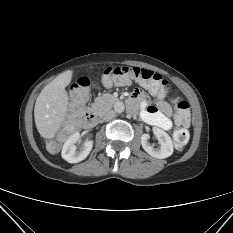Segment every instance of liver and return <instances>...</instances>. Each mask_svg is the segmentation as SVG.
Wrapping results in <instances>:
<instances>
[{
  "instance_id": "6515ba94",
  "label": "liver",
  "mask_w": 233,
  "mask_h": 233,
  "mask_svg": "<svg viewBox=\"0 0 233 233\" xmlns=\"http://www.w3.org/2000/svg\"><path fill=\"white\" fill-rule=\"evenodd\" d=\"M73 71L59 74L47 84L36 99L34 119L39 134L45 139H53L65 122L68 113V93Z\"/></svg>"
}]
</instances>
